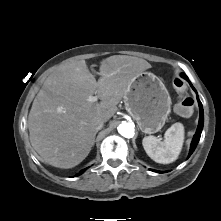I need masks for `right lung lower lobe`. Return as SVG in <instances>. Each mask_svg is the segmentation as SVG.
<instances>
[{
    "instance_id": "1",
    "label": "right lung lower lobe",
    "mask_w": 221,
    "mask_h": 221,
    "mask_svg": "<svg viewBox=\"0 0 221 221\" xmlns=\"http://www.w3.org/2000/svg\"><path fill=\"white\" fill-rule=\"evenodd\" d=\"M80 174H82V172L78 173L76 176H78V175H80Z\"/></svg>"
}]
</instances>
